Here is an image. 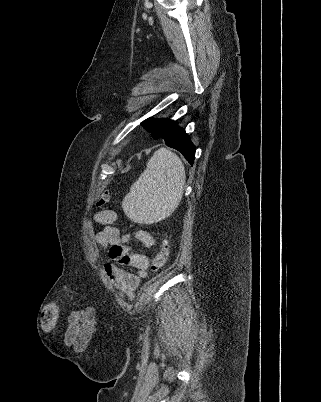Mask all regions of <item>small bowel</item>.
<instances>
[{
    "mask_svg": "<svg viewBox=\"0 0 321 402\" xmlns=\"http://www.w3.org/2000/svg\"><path fill=\"white\" fill-rule=\"evenodd\" d=\"M95 223L102 225V231L96 233L95 243L103 248L110 259L104 264V273L109 281L127 298H132L141 281L148 275L149 260L143 254L134 253L127 246L130 236L123 234L116 226L115 212L104 209L94 214ZM134 238L145 248L155 245V238L145 229H138ZM120 265L128 266L125 270ZM88 303L86 307H76L72 315L66 316L65 339L74 345L75 353H86L88 340L92 337L94 326L92 309ZM81 320V321H80Z\"/></svg>",
    "mask_w": 321,
    "mask_h": 402,
    "instance_id": "obj_1",
    "label": "small bowel"
}]
</instances>
